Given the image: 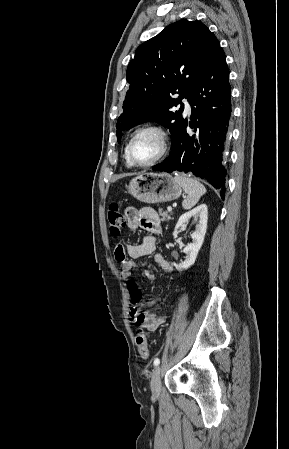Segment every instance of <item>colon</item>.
I'll list each match as a JSON object with an SVG mask.
<instances>
[{"label": "colon", "instance_id": "colon-1", "mask_svg": "<svg viewBox=\"0 0 289 449\" xmlns=\"http://www.w3.org/2000/svg\"><path fill=\"white\" fill-rule=\"evenodd\" d=\"M108 224L109 231L112 237H119L125 227V216L122 213L119 205L116 203H112L108 209ZM129 288L131 292L132 302L133 304H135L140 298V291L134 283H130ZM135 341L140 357L143 359H147L149 356V348L146 333L142 328H139L135 337Z\"/></svg>", "mask_w": 289, "mask_h": 449}]
</instances>
